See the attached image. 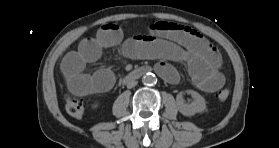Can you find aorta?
Returning <instances> with one entry per match:
<instances>
[{
  "instance_id": "aorta-1",
  "label": "aorta",
  "mask_w": 279,
  "mask_h": 148,
  "mask_svg": "<svg viewBox=\"0 0 279 148\" xmlns=\"http://www.w3.org/2000/svg\"><path fill=\"white\" fill-rule=\"evenodd\" d=\"M157 82V78L153 73H147L142 77V83L144 85H154Z\"/></svg>"
}]
</instances>
